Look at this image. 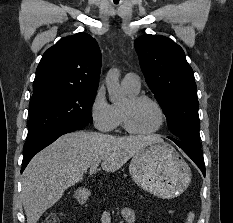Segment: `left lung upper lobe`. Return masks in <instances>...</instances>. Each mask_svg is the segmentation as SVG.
<instances>
[{
  "mask_svg": "<svg viewBox=\"0 0 233 223\" xmlns=\"http://www.w3.org/2000/svg\"><path fill=\"white\" fill-rule=\"evenodd\" d=\"M145 80L166 118L175 143L200 146L199 102L193 70L170 38L143 35L134 42Z\"/></svg>",
  "mask_w": 233,
  "mask_h": 223,
  "instance_id": "5c2ea615",
  "label": "left lung upper lobe"
}]
</instances>
